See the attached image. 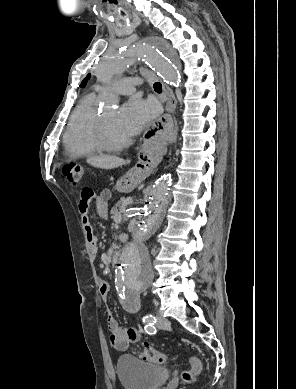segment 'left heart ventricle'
<instances>
[{
	"mask_svg": "<svg viewBox=\"0 0 296 389\" xmlns=\"http://www.w3.org/2000/svg\"><path fill=\"white\" fill-rule=\"evenodd\" d=\"M118 111L113 110L102 115L108 139L111 142H120L128 138L118 125Z\"/></svg>",
	"mask_w": 296,
	"mask_h": 389,
	"instance_id": "obj_1",
	"label": "left heart ventricle"
}]
</instances>
